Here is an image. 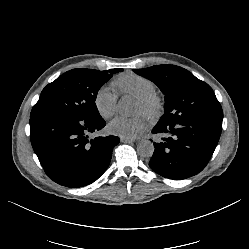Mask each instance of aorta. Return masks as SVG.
<instances>
[{
    "instance_id": "1",
    "label": "aorta",
    "mask_w": 249,
    "mask_h": 249,
    "mask_svg": "<svg viewBox=\"0 0 249 249\" xmlns=\"http://www.w3.org/2000/svg\"><path fill=\"white\" fill-rule=\"evenodd\" d=\"M118 108L123 114L130 112V104L126 100L119 101ZM137 152L142 157H151L154 152V145L149 140H141L137 145Z\"/></svg>"
}]
</instances>
